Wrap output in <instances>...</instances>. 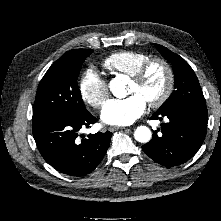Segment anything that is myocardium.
I'll use <instances>...</instances> for the list:
<instances>
[{
	"mask_svg": "<svg viewBox=\"0 0 221 221\" xmlns=\"http://www.w3.org/2000/svg\"><path fill=\"white\" fill-rule=\"evenodd\" d=\"M155 64L160 65L164 69L166 74V85L163 92L158 98L147 102L149 106L153 108L162 106L169 99L173 92L175 84V74L170 63L161 57L149 58L131 76V80L133 82H135L136 84H140L147 76L150 68Z\"/></svg>",
	"mask_w": 221,
	"mask_h": 221,
	"instance_id": "myocardium-1",
	"label": "myocardium"
}]
</instances>
